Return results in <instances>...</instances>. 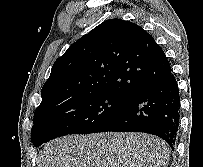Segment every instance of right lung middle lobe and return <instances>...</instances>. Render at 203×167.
I'll return each instance as SVG.
<instances>
[{
  "label": "right lung middle lobe",
  "instance_id": "right-lung-middle-lobe-1",
  "mask_svg": "<svg viewBox=\"0 0 203 167\" xmlns=\"http://www.w3.org/2000/svg\"><path fill=\"white\" fill-rule=\"evenodd\" d=\"M128 98L109 92L78 96L35 111L31 139L35 146L69 134L93 133Z\"/></svg>",
  "mask_w": 203,
  "mask_h": 167
}]
</instances>
